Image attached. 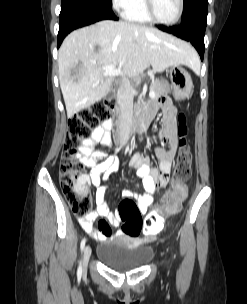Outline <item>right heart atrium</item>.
I'll use <instances>...</instances> for the list:
<instances>
[{
  "label": "right heart atrium",
  "mask_w": 247,
  "mask_h": 304,
  "mask_svg": "<svg viewBox=\"0 0 247 304\" xmlns=\"http://www.w3.org/2000/svg\"><path fill=\"white\" fill-rule=\"evenodd\" d=\"M113 7L120 11L125 12L128 8H130L136 0H111Z\"/></svg>",
  "instance_id": "right-heart-atrium-1"
}]
</instances>
